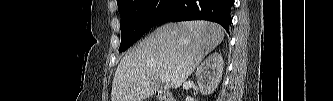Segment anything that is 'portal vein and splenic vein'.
<instances>
[{
    "mask_svg": "<svg viewBox=\"0 0 333 101\" xmlns=\"http://www.w3.org/2000/svg\"><path fill=\"white\" fill-rule=\"evenodd\" d=\"M160 80L163 83L168 84L170 82V77L168 75H162V76H160Z\"/></svg>",
    "mask_w": 333,
    "mask_h": 101,
    "instance_id": "portal-vein-and-splenic-vein-1",
    "label": "portal vein and splenic vein"
}]
</instances>
